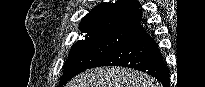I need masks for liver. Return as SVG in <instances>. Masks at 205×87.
I'll use <instances>...</instances> for the list:
<instances>
[{
	"mask_svg": "<svg viewBox=\"0 0 205 87\" xmlns=\"http://www.w3.org/2000/svg\"><path fill=\"white\" fill-rule=\"evenodd\" d=\"M66 87H160L149 75L121 67L86 70L66 84Z\"/></svg>",
	"mask_w": 205,
	"mask_h": 87,
	"instance_id": "1",
	"label": "liver"
}]
</instances>
